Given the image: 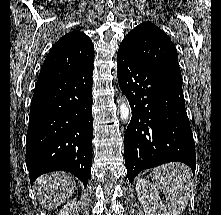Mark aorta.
<instances>
[{"label": "aorta", "instance_id": "obj_1", "mask_svg": "<svg viewBox=\"0 0 221 215\" xmlns=\"http://www.w3.org/2000/svg\"><path fill=\"white\" fill-rule=\"evenodd\" d=\"M129 115H130L129 105L122 100L121 104H120V116H121V119L123 121H125V120H127L129 118Z\"/></svg>", "mask_w": 221, "mask_h": 215}]
</instances>
